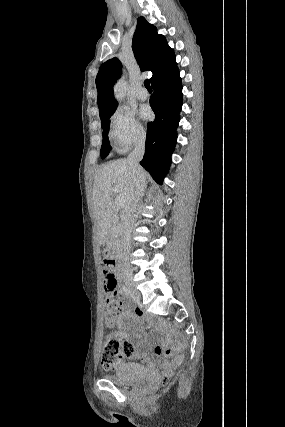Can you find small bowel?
<instances>
[{
	"mask_svg": "<svg viewBox=\"0 0 285 427\" xmlns=\"http://www.w3.org/2000/svg\"><path fill=\"white\" fill-rule=\"evenodd\" d=\"M120 293H121V290H120ZM146 319L147 318L144 315H141L138 313H135L132 315L127 309H125L120 314L119 321H118L119 326L122 328V330L120 331V336L122 338H132L134 336L133 335V329L136 328L137 326H139L140 324H142ZM135 338L139 343L144 342V341L140 340L138 337H135ZM184 346H185L184 340L177 341L175 347H173L175 354L173 355V357L171 359H169L168 361H165L163 363L162 372L164 374L171 373L172 370L174 368H176L177 365L180 363V361L182 359V355L180 354V351L183 349ZM126 358L137 359V360L141 361L144 365L150 367L153 371H155L153 364L148 361L145 353H140L139 351H137L135 349L132 352V354H130L129 356H126Z\"/></svg>",
	"mask_w": 285,
	"mask_h": 427,
	"instance_id": "obj_1",
	"label": "small bowel"
}]
</instances>
